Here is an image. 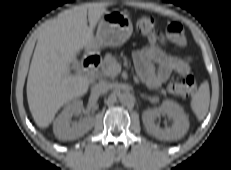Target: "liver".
I'll list each match as a JSON object with an SVG mask.
<instances>
[{"label": "liver", "instance_id": "liver-1", "mask_svg": "<svg viewBox=\"0 0 231 170\" xmlns=\"http://www.w3.org/2000/svg\"><path fill=\"white\" fill-rule=\"evenodd\" d=\"M106 12L96 4L77 6L42 30L27 79L28 105L38 127L47 128L64 104L87 93L90 80L72 75L70 64L93 44L94 28Z\"/></svg>", "mask_w": 231, "mask_h": 170}]
</instances>
